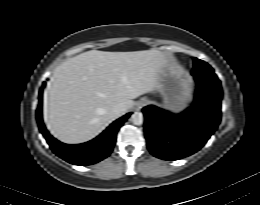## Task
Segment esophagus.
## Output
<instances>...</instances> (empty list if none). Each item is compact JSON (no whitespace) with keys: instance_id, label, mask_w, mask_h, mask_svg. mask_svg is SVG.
Instances as JSON below:
<instances>
[{"instance_id":"obj_1","label":"esophagus","mask_w":260,"mask_h":205,"mask_svg":"<svg viewBox=\"0 0 260 205\" xmlns=\"http://www.w3.org/2000/svg\"><path fill=\"white\" fill-rule=\"evenodd\" d=\"M147 103H148V101L145 100V99H142L141 101L137 102V104H136L137 110H140V109H141L143 106H145Z\"/></svg>"}]
</instances>
